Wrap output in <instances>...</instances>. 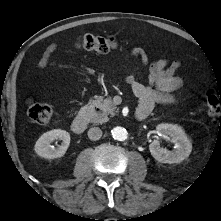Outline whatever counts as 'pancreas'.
Here are the masks:
<instances>
[{"instance_id":"pancreas-1","label":"pancreas","mask_w":221,"mask_h":221,"mask_svg":"<svg viewBox=\"0 0 221 221\" xmlns=\"http://www.w3.org/2000/svg\"><path fill=\"white\" fill-rule=\"evenodd\" d=\"M92 107H97L101 110V113H94L90 117V121L93 123H103L107 120V116L110 114L114 116L117 111L116 107L113 105L111 98L103 99L102 96L95 97L89 101Z\"/></svg>"}]
</instances>
